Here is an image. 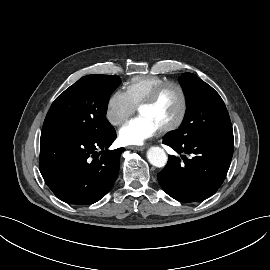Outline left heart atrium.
Wrapping results in <instances>:
<instances>
[{
    "mask_svg": "<svg viewBox=\"0 0 270 270\" xmlns=\"http://www.w3.org/2000/svg\"><path fill=\"white\" fill-rule=\"evenodd\" d=\"M159 127L149 117L139 115L127 121L118 133V139L123 145H140L154 136Z\"/></svg>",
    "mask_w": 270,
    "mask_h": 270,
    "instance_id": "1",
    "label": "left heart atrium"
}]
</instances>
